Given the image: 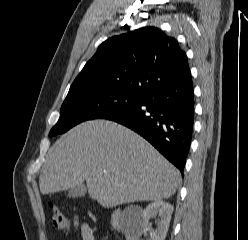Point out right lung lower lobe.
<instances>
[{
	"label": "right lung lower lobe",
	"instance_id": "obj_1",
	"mask_svg": "<svg viewBox=\"0 0 248 240\" xmlns=\"http://www.w3.org/2000/svg\"><path fill=\"white\" fill-rule=\"evenodd\" d=\"M105 119L140 134L183 174L194 123L191 73L153 89L135 105Z\"/></svg>",
	"mask_w": 248,
	"mask_h": 240
}]
</instances>
